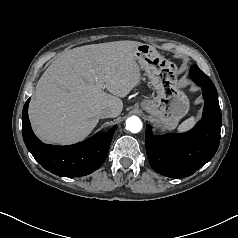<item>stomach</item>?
Here are the masks:
<instances>
[{"mask_svg":"<svg viewBox=\"0 0 238 238\" xmlns=\"http://www.w3.org/2000/svg\"><path fill=\"white\" fill-rule=\"evenodd\" d=\"M136 60L145 70L156 96L145 99L140 106L163 129H174L189 110V100L178 85V69L175 63L162 56L155 47L139 44Z\"/></svg>","mask_w":238,"mask_h":238,"instance_id":"stomach-1","label":"stomach"}]
</instances>
